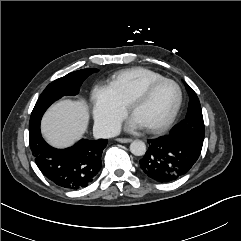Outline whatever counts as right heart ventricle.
Masks as SVG:
<instances>
[{"label": "right heart ventricle", "mask_w": 241, "mask_h": 241, "mask_svg": "<svg viewBox=\"0 0 241 241\" xmlns=\"http://www.w3.org/2000/svg\"><path fill=\"white\" fill-rule=\"evenodd\" d=\"M161 74L142 67L121 71L113 76L111 87L127 106L149 83L163 79Z\"/></svg>", "instance_id": "obj_1"}]
</instances>
